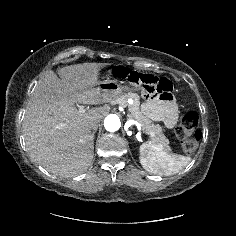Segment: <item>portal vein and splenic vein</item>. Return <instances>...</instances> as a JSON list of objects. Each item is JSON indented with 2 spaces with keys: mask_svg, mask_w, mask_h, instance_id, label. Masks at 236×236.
<instances>
[{
  "mask_svg": "<svg viewBox=\"0 0 236 236\" xmlns=\"http://www.w3.org/2000/svg\"><path fill=\"white\" fill-rule=\"evenodd\" d=\"M79 112H80V113H84V112H85V109H84L83 107H80V108H79Z\"/></svg>",
  "mask_w": 236,
  "mask_h": 236,
  "instance_id": "18ae733b",
  "label": "portal vein and splenic vein"
}]
</instances>
